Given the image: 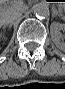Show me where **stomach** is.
Listing matches in <instances>:
<instances>
[{"label": "stomach", "mask_w": 65, "mask_h": 89, "mask_svg": "<svg viewBox=\"0 0 65 89\" xmlns=\"http://www.w3.org/2000/svg\"><path fill=\"white\" fill-rule=\"evenodd\" d=\"M59 12H60V15H64L65 13V4H59Z\"/></svg>", "instance_id": "obj_1"}]
</instances>
